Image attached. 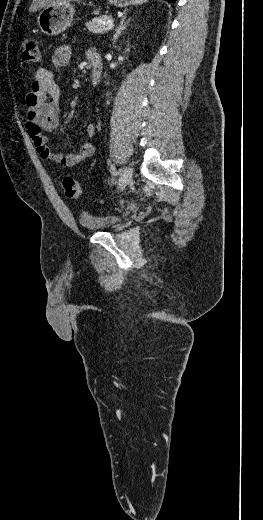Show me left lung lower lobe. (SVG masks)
<instances>
[{
    "instance_id": "obj_1",
    "label": "left lung lower lobe",
    "mask_w": 263,
    "mask_h": 520,
    "mask_svg": "<svg viewBox=\"0 0 263 520\" xmlns=\"http://www.w3.org/2000/svg\"><path fill=\"white\" fill-rule=\"evenodd\" d=\"M166 1H168V2H175L176 0H166Z\"/></svg>"
}]
</instances>
